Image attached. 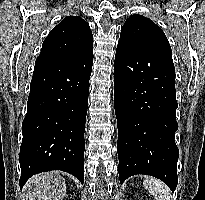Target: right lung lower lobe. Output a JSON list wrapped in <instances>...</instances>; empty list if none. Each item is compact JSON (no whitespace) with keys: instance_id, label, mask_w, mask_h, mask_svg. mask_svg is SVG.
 <instances>
[{"instance_id":"right-lung-lower-lobe-1","label":"right lung lower lobe","mask_w":205,"mask_h":200,"mask_svg":"<svg viewBox=\"0 0 205 200\" xmlns=\"http://www.w3.org/2000/svg\"><path fill=\"white\" fill-rule=\"evenodd\" d=\"M93 49L38 57L22 124L20 188L34 174L62 170L84 182V132Z\"/></svg>"}]
</instances>
